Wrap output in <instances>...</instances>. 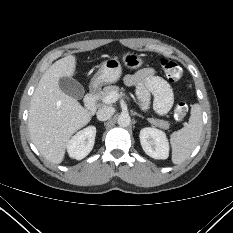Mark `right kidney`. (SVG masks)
Returning <instances> with one entry per match:
<instances>
[{
	"instance_id": "ca27d5eb",
	"label": "right kidney",
	"mask_w": 233,
	"mask_h": 233,
	"mask_svg": "<svg viewBox=\"0 0 233 233\" xmlns=\"http://www.w3.org/2000/svg\"><path fill=\"white\" fill-rule=\"evenodd\" d=\"M95 136L96 127L94 126H88L77 132L67 146L69 156L77 160L84 159L93 149Z\"/></svg>"
}]
</instances>
